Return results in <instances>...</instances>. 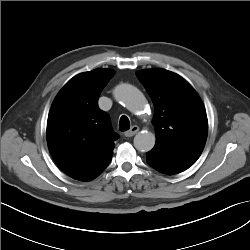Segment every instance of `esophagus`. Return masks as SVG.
<instances>
[{
  "label": "esophagus",
  "instance_id": "obj_1",
  "mask_svg": "<svg viewBox=\"0 0 250 250\" xmlns=\"http://www.w3.org/2000/svg\"><path fill=\"white\" fill-rule=\"evenodd\" d=\"M139 131V127L137 125L132 126L128 131L125 132L126 137H132Z\"/></svg>",
  "mask_w": 250,
  "mask_h": 250
}]
</instances>
